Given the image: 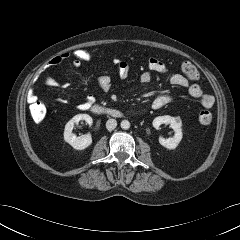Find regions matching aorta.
I'll use <instances>...</instances> for the list:
<instances>
[{"label":"aorta","mask_w":240,"mask_h":240,"mask_svg":"<svg viewBox=\"0 0 240 240\" xmlns=\"http://www.w3.org/2000/svg\"><path fill=\"white\" fill-rule=\"evenodd\" d=\"M121 128L125 129V130L129 129L130 128V122L128 120H122Z\"/></svg>","instance_id":"762f6f07"}]
</instances>
